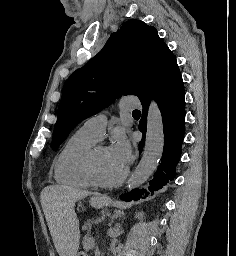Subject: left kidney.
Segmentation results:
<instances>
[{"label": "left kidney", "instance_id": "1", "mask_svg": "<svg viewBox=\"0 0 236 256\" xmlns=\"http://www.w3.org/2000/svg\"><path fill=\"white\" fill-rule=\"evenodd\" d=\"M136 218H138V220H142V218H144L143 212H138V214H136Z\"/></svg>", "mask_w": 236, "mask_h": 256}]
</instances>
